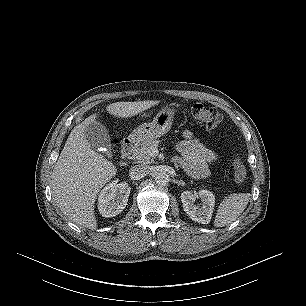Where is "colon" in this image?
Wrapping results in <instances>:
<instances>
[{"instance_id":"5ec220e1","label":"colon","mask_w":306,"mask_h":306,"mask_svg":"<svg viewBox=\"0 0 306 306\" xmlns=\"http://www.w3.org/2000/svg\"><path fill=\"white\" fill-rule=\"evenodd\" d=\"M191 112L197 122L209 129L216 128L222 120V115L216 108L200 103L193 105ZM233 169L235 182L238 184L243 183L246 179L247 172L242 155H237L234 159Z\"/></svg>"}]
</instances>
